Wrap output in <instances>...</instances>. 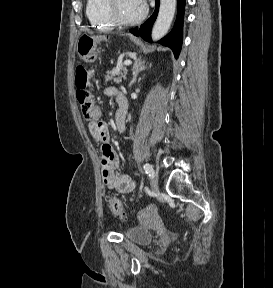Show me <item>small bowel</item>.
<instances>
[{
  "mask_svg": "<svg viewBox=\"0 0 273 288\" xmlns=\"http://www.w3.org/2000/svg\"><path fill=\"white\" fill-rule=\"evenodd\" d=\"M106 96H114L117 101L119 95L122 94L117 88L109 87L104 91ZM116 113V127L119 132L125 129V120L120 121ZM89 131L98 141L101 153V172L105 185L114 189L119 193L127 194L134 190L135 183L131 177L118 171V158L110 144V135L107 124L102 121H94L89 123Z\"/></svg>",
  "mask_w": 273,
  "mask_h": 288,
  "instance_id": "obj_1",
  "label": "small bowel"
}]
</instances>
